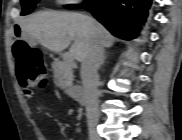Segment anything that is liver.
<instances>
[{"instance_id": "liver-1", "label": "liver", "mask_w": 182, "mask_h": 140, "mask_svg": "<svg viewBox=\"0 0 182 140\" xmlns=\"http://www.w3.org/2000/svg\"><path fill=\"white\" fill-rule=\"evenodd\" d=\"M22 38L33 39L50 51L59 53L72 42L70 53L83 62L94 40L104 47H111L114 37L99 22L76 12L41 11L20 21Z\"/></svg>"}]
</instances>
